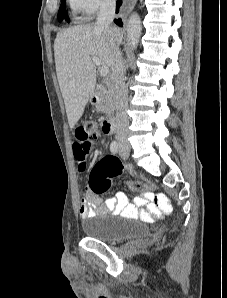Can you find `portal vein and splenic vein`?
<instances>
[{
	"instance_id": "1",
	"label": "portal vein and splenic vein",
	"mask_w": 227,
	"mask_h": 298,
	"mask_svg": "<svg viewBox=\"0 0 227 298\" xmlns=\"http://www.w3.org/2000/svg\"><path fill=\"white\" fill-rule=\"evenodd\" d=\"M92 61L96 66H99V73L102 77H106L109 73V68L107 66H100L99 59L97 57H92Z\"/></svg>"
}]
</instances>
